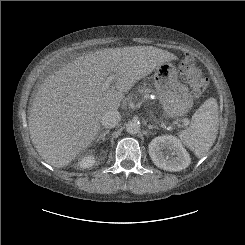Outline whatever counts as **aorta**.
Wrapping results in <instances>:
<instances>
[{"mask_svg":"<svg viewBox=\"0 0 245 245\" xmlns=\"http://www.w3.org/2000/svg\"><path fill=\"white\" fill-rule=\"evenodd\" d=\"M125 128L129 134H137L140 131V123L135 120H130L126 123Z\"/></svg>","mask_w":245,"mask_h":245,"instance_id":"aorta-1","label":"aorta"}]
</instances>
